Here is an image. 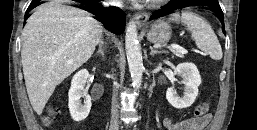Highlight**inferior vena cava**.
<instances>
[{"label": "inferior vena cava", "instance_id": "602c4592", "mask_svg": "<svg viewBox=\"0 0 257 130\" xmlns=\"http://www.w3.org/2000/svg\"><path fill=\"white\" fill-rule=\"evenodd\" d=\"M114 3L117 5L121 4L120 0H114ZM112 116L110 121V130H118L119 128V121H118V109H117V101H116V93L113 94L112 98Z\"/></svg>", "mask_w": 257, "mask_h": 130}]
</instances>
